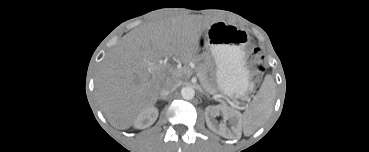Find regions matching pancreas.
I'll return each mask as SVG.
<instances>
[{
  "instance_id": "pancreas-1",
  "label": "pancreas",
  "mask_w": 369,
  "mask_h": 152,
  "mask_svg": "<svg viewBox=\"0 0 369 152\" xmlns=\"http://www.w3.org/2000/svg\"><path fill=\"white\" fill-rule=\"evenodd\" d=\"M199 79L201 80V84L203 86V88L208 92V93H217V88L216 86L207 79V77L205 76V74L202 71H198L197 73Z\"/></svg>"
}]
</instances>
